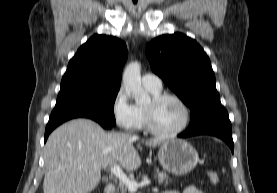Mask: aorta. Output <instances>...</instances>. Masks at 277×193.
<instances>
[{
  "mask_svg": "<svg viewBox=\"0 0 277 193\" xmlns=\"http://www.w3.org/2000/svg\"><path fill=\"white\" fill-rule=\"evenodd\" d=\"M123 87L126 93L137 103H145L149 100L148 94L141 85V65L132 62L127 65L122 77Z\"/></svg>",
  "mask_w": 277,
  "mask_h": 193,
  "instance_id": "obj_1",
  "label": "aorta"
}]
</instances>
